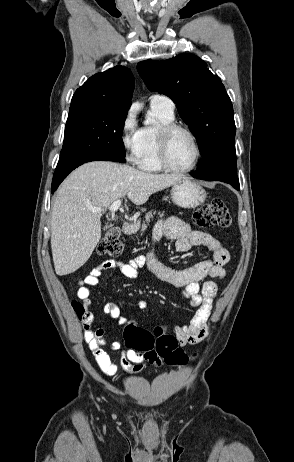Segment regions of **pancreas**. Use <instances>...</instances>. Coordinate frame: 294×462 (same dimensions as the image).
Segmentation results:
<instances>
[{
  "mask_svg": "<svg viewBox=\"0 0 294 462\" xmlns=\"http://www.w3.org/2000/svg\"><path fill=\"white\" fill-rule=\"evenodd\" d=\"M154 214H155V212H153V211H149L148 213H146L145 221H143L141 227H139L140 231H141V234H143V232L147 229V226L149 225L150 220L153 219ZM163 215H164V212L159 213L160 217H162Z\"/></svg>",
  "mask_w": 294,
  "mask_h": 462,
  "instance_id": "pancreas-1",
  "label": "pancreas"
}]
</instances>
